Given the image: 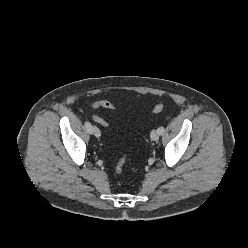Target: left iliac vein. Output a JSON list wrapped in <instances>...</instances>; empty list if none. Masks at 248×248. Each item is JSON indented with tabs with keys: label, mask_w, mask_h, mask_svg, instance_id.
I'll use <instances>...</instances> for the list:
<instances>
[{
	"label": "left iliac vein",
	"mask_w": 248,
	"mask_h": 248,
	"mask_svg": "<svg viewBox=\"0 0 248 248\" xmlns=\"http://www.w3.org/2000/svg\"><path fill=\"white\" fill-rule=\"evenodd\" d=\"M159 136H160V134H159L158 130L154 129L151 131L150 137L153 141H157L159 139Z\"/></svg>",
	"instance_id": "1"
}]
</instances>
